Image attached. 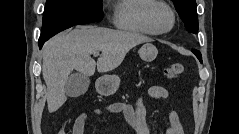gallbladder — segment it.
Instances as JSON below:
<instances>
[{
	"mask_svg": "<svg viewBox=\"0 0 239 134\" xmlns=\"http://www.w3.org/2000/svg\"><path fill=\"white\" fill-rule=\"evenodd\" d=\"M90 84L88 76L81 73H74L70 75L65 83V91L70 97H78L83 95Z\"/></svg>",
	"mask_w": 239,
	"mask_h": 134,
	"instance_id": "bac80fb5",
	"label": "gallbladder"
}]
</instances>
